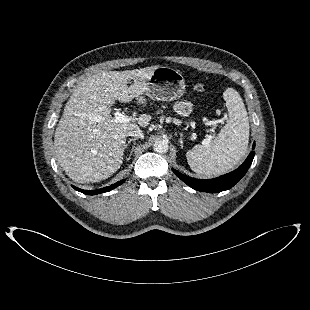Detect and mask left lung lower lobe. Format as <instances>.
I'll return each mask as SVG.
<instances>
[{
    "label": "left lung lower lobe",
    "instance_id": "obj_1",
    "mask_svg": "<svg viewBox=\"0 0 310 310\" xmlns=\"http://www.w3.org/2000/svg\"><path fill=\"white\" fill-rule=\"evenodd\" d=\"M253 148H255V143L253 144ZM254 155L255 152L252 151L239 168L231 173L222 175L215 179H194L176 171L175 169L172 170L177 177H179L183 182H185L193 189L203 192L217 193L230 189L245 175L253 161Z\"/></svg>",
    "mask_w": 310,
    "mask_h": 310
}]
</instances>
